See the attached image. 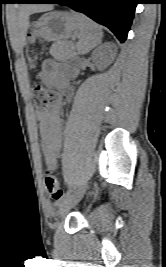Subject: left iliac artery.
<instances>
[{
	"mask_svg": "<svg viewBox=\"0 0 166 267\" xmlns=\"http://www.w3.org/2000/svg\"><path fill=\"white\" fill-rule=\"evenodd\" d=\"M70 194V191H67L63 196L62 198L60 199V201L58 203H56L57 206H61L65 200L67 199V197L69 196Z\"/></svg>",
	"mask_w": 166,
	"mask_h": 267,
	"instance_id": "obj_1",
	"label": "left iliac artery"
}]
</instances>
